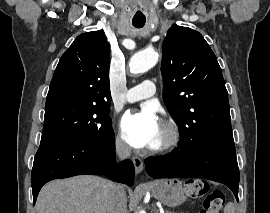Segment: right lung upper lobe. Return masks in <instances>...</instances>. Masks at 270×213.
<instances>
[{
    "instance_id": "right-lung-upper-lobe-1",
    "label": "right lung upper lobe",
    "mask_w": 270,
    "mask_h": 213,
    "mask_svg": "<svg viewBox=\"0 0 270 213\" xmlns=\"http://www.w3.org/2000/svg\"><path fill=\"white\" fill-rule=\"evenodd\" d=\"M109 62L110 46L102 31L79 35L55 69L46 107L61 103L108 105Z\"/></svg>"
}]
</instances>
